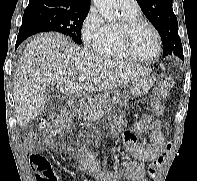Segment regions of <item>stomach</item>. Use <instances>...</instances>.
I'll return each mask as SVG.
<instances>
[{
    "instance_id": "obj_1",
    "label": "stomach",
    "mask_w": 197,
    "mask_h": 181,
    "mask_svg": "<svg viewBox=\"0 0 197 181\" xmlns=\"http://www.w3.org/2000/svg\"><path fill=\"white\" fill-rule=\"evenodd\" d=\"M155 77L151 72L141 75L136 81L132 82L129 92L121 94L118 91H107L100 95L97 99H88V108L105 103H114L121 106H127L130 99L145 95L153 86Z\"/></svg>"
}]
</instances>
